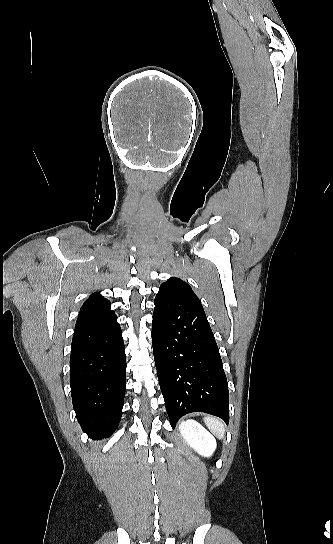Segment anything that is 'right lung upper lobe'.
Masks as SVG:
<instances>
[{
  "label": "right lung upper lobe",
  "mask_w": 333,
  "mask_h": 544,
  "mask_svg": "<svg viewBox=\"0 0 333 544\" xmlns=\"http://www.w3.org/2000/svg\"><path fill=\"white\" fill-rule=\"evenodd\" d=\"M110 306L108 299L103 298L99 292H95L81 307L76 326L113 313Z\"/></svg>",
  "instance_id": "right-lung-upper-lobe-1"
}]
</instances>
